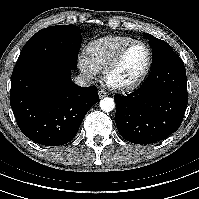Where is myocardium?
<instances>
[{"instance_id": "obj_1", "label": "myocardium", "mask_w": 199, "mask_h": 199, "mask_svg": "<svg viewBox=\"0 0 199 199\" xmlns=\"http://www.w3.org/2000/svg\"><path fill=\"white\" fill-rule=\"evenodd\" d=\"M135 46H143L146 49L147 60H146L144 68L142 69L140 74L132 81L125 82V83H116L112 81L111 75L120 66V64L122 63L128 51ZM151 65H152V52H151L150 47L142 41H133L132 43L122 48L114 57V59L105 67L103 71V79H104L105 84L113 90L129 91V90L135 89L144 81V79L146 78V76L148 75L150 71Z\"/></svg>"}]
</instances>
